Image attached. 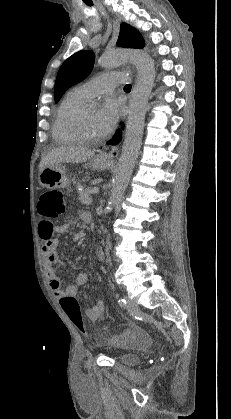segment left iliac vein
<instances>
[{
    "instance_id": "4c4485c4",
    "label": "left iliac vein",
    "mask_w": 231,
    "mask_h": 419,
    "mask_svg": "<svg viewBox=\"0 0 231 419\" xmlns=\"http://www.w3.org/2000/svg\"><path fill=\"white\" fill-rule=\"evenodd\" d=\"M125 299L127 300V308L131 312H137L139 310V306L134 300L130 299L128 296H126Z\"/></svg>"
}]
</instances>
